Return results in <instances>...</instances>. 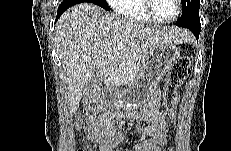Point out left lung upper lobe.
Returning <instances> with one entry per match:
<instances>
[{"label":"left lung upper lobe","instance_id":"obj_1","mask_svg":"<svg viewBox=\"0 0 231 151\" xmlns=\"http://www.w3.org/2000/svg\"><path fill=\"white\" fill-rule=\"evenodd\" d=\"M182 6V16L176 22V25L187 29L201 28L199 18L200 1L182 0Z\"/></svg>","mask_w":231,"mask_h":151}]
</instances>
